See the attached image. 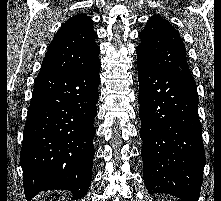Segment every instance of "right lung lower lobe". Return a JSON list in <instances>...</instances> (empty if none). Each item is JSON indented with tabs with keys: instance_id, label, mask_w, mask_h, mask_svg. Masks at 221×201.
<instances>
[{
	"instance_id": "98d812e1",
	"label": "right lung lower lobe",
	"mask_w": 221,
	"mask_h": 201,
	"mask_svg": "<svg viewBox=\"0 0 221 201\" xmlns=\"http://www.w3.org/2000/svg\"><path fill=\"white\" fill-rule=\"evenodd\" d=\"M100 66L77 73L40 72L23 133L25 196L63 189L82 198L91 183Z\"/></svg>"
}]
</instances>
